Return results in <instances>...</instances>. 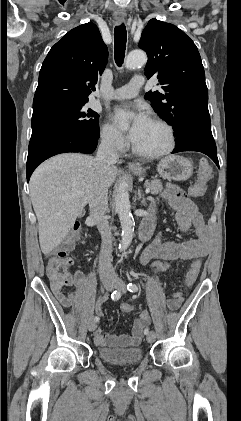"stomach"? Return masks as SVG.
<instances>
[{
    "mask_svg": "<svg viewBox=\"0 0 241 421\" xmlns=\"http://www.w3.org/2000/svg\"><path fill=\"white\" fill-rule=\"evenodd\" d=\"M146 169L138 167L132 172L142 176ZM159 175L168 180L182 181L188 179L193 173V164L187 158L177 155H170L162 158L157 164Z\"/></svg>",
    "mask_w": 241,
    "mask_h": 421,
    "instance_id": "1",
    "label": "stomach"
}]
</instances>
